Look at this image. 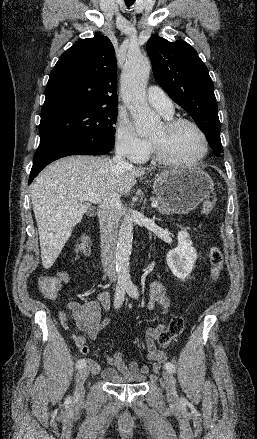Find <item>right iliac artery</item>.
I'll return each mask as SVG.
<instances>
[{
    "instance_id": "82829eb1",
    "label": "right iliac artery",
    "mask_w": 257,
    "mask_h": 439,
    "mask_svg": "<svg viewBox=\"0 0 257 439\" xmlns=\"http://www.w3.org/2000/svg\"><path fill=\"white\" fill-rule=\"evenodd\" d=\"M125 285L123 284H119L116 287V293H115V299H114V306L115 308H119L122 304V302L124 301V296H125ZM86 365V360L84 358L79 359L77 361L76 367L78 369L83 368Z\"/></svg>"
}]
</instances>
